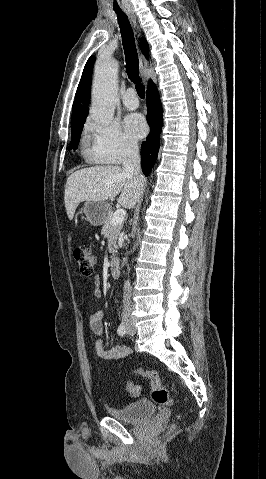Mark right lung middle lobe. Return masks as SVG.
<instances>
[{"label":"right lung middle lobe","mask_w":266,"mask_h":479,"mask_svg":"<svg viewBox=\"0 0 266 479\" xmlns=\"http://www.w3.org/2000/svg\"><path fill=\"white\" fill-rule=\"evenodd\" d=\"M84 123H85V119L72 123V126H71V132H72L71 144H72V148H74V149L77 148V145L79 143Z\"/></svg>","instance_id":"1"}]
</instances>
